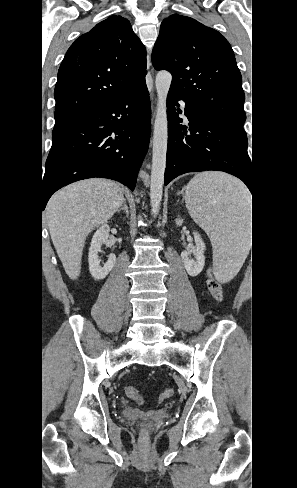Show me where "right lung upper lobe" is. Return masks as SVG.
<instances>
[{
  "label": "right lung upper lobe",
  "mask_w": 297,
  "mask_h": 488,
  "mask_svg": "<svg viewBox=\"0 0 297 488\" xmlns=\"http://www.w3.org/2000/svg\"><path fill=\"white\" fill-rule=\"evenodd\" d=\"M146 50L129 21L112 15L68 49L58 71L54 130L107 105L145 80Z\"/></svg>",
  "instance_id": "cb5924a9"
}]
</instances>
